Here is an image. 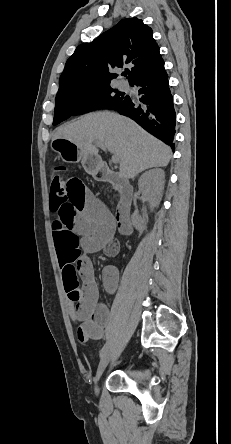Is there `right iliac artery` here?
Masks as SVG:
<instances>
[{"mask_svg":"<svg viewBox=\"0 0 231 444\" xmlns=\"http://www.w3.org/2000/svg\"><path fill=\"white\" fill-rule=\"evenodd\" d=\"M108 347H109V343H106V344L103 346V348H102L101 351H100V357L103 356V354L107 351Z\"/></svg>","mask_w":231,"mask_h":444,"instance_id":"right-iliac-artery-1","label":"right iliac artery"}]
</instances>
